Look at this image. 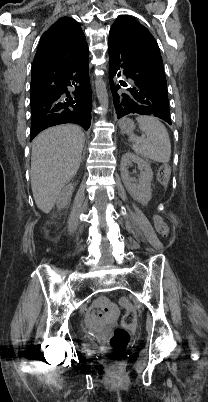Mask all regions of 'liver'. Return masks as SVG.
Wrapping results in <instances>:
<instances>
[{
	"mask_svg": "<svg viewBox=\"0 0 208 402\" xmlns=\"http://www.w3.org/2000/svg\"><path fill=\"white\" fill-rule=\"evenodd\" d=\"M85 136L79 126L62 124L41 132L32 142L31 188L35 204L51 212L59 194L79 170Z\"/></svg>",
	"mask_w": 208,
	"mask_h": 402,
	"instance_id": "1",
	"label": "liver"
}]
</instances>
